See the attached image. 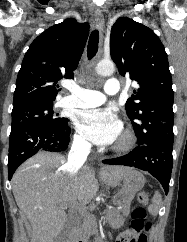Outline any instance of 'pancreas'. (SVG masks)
<instances>
[{
    "label": "pancreas",
    "mask_w": 187,
    "mask_h": 242,
    "mask_svg": "<svg viewBox=\"0 0 187 242\" xmlns=\"http://www.w3.org/2000/svg\"><path fill=\"white\" fill-rule=\"evenodd\" d=\"M107 219V222L113 224L114 217L117 214L115 210L106 209L104 213ZM97 231V224L96 218L94 215L90 214L89 212H85L80 221L78 222L77 228L75 229V235L78 241L81 242H88L89 237L96 233Z\"/></svg>",
    "instance_id": "cf45deb5"
}]
</instances>
